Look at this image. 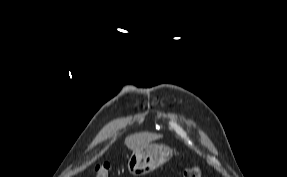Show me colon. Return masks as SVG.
Here are the masks:
<instances>
[{
  "label": "colon",
  "mask_w": 287,
  "mask_h": 177,
  "mask_svg": "<svg viewBox=\"0 0 287 177\" xmlns=\"http://www.w3.org/2000/svg\"><path fill=\"white\" fill-rule=\"evenodd\" d=\"M110 165L100 164L94 170L95 177H110ZM184 177H203V172L200 166H191L184 172Z\"/></svg>",
  "instance_id": "5ec220e1"
}]
</instances>
